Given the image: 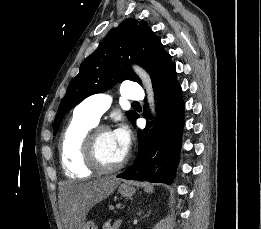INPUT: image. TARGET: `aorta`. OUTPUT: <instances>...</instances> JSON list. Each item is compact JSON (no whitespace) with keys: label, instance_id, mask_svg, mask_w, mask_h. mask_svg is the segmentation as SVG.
Here are the masks:
<instances>
[{"label":"aorta","instance_id":"obj_1","mask_svg":"<svg viewBox=\"0 0 261 229\" xmlns=\"http://www.w3.org/2000/svg\"><path fill=\"white\" fill-rule=\"evenodd\" d=\"M132 68H134L136 74H138V76H140L146 90H147V96H148V102H149V106H150V110L152 112V115H154L155 112V100H154V92H153V86H152V82H151V78L148 74V72H146V70H144V68H141V66H137V64H134V66H132Z\"/></svg>","mask_w":261,"mask_h":229}]
</instances>
